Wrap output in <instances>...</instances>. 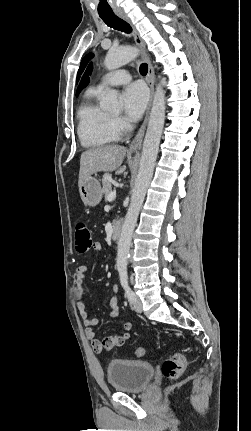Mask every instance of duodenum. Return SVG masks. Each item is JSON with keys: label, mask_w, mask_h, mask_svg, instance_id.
Wrapping results in <instances>:
<instances>
[{"label": "duodenum", "mask_w": 251, "mask_h": 431, "mask_svg": "<svg viewBox=\"0 0 251 431\" xmlns=\"http://www.w3.org/2000/svg\"><path fill=\"white\" fill-rule=\"evenodd\" d=\"M122 227H123V225H122L121 221H117L114 223L113 230H112V239L113 240H117L120 237V235L122 233Z\"/></svg>", "instance_id": "duodenum-1"}]
</instances>
